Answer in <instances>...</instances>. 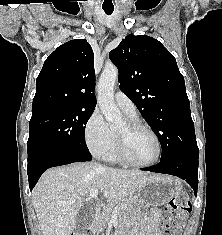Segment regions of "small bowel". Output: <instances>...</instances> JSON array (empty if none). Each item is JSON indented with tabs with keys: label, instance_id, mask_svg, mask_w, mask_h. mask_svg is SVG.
Instances as JSON below:
<instances>
[{
	"label": "small bowel",
	"instance_id": "1",
	"mask_svg": "<svg viewBox=\"0 0 222 235\" xmlns=\"http://www.w3.org/2000/svg\"><path fill=\"white\" fill-rule=\"evenodd\" d=\"M159 211L153 210L144 230L139 235H158Z\"/></svg>",
	"mask_w": 222,
	"mask_h": 235
}]
</instances>
